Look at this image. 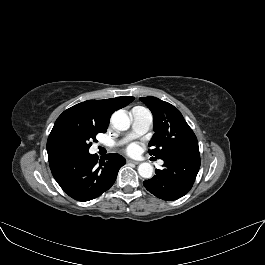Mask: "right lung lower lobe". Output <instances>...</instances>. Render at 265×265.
<instances>
[{"label":"right lung lower lobe","instance_id":"1","mask_svg":"<svg viewBox=\"0 0 265 265\" xmlns=\"http://www.w3.org/2000/svg\"><path fill=\"white\" fill-rule=\"evenodd\" d=\"M124 164L125 159L116 153L107 154L99 161L89 152L49 160L57 183L65 193L78 201L92 200L108 190Z\"/></svg>","mask_w":265,"mask_h":265}]
</instances>
